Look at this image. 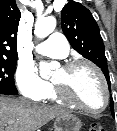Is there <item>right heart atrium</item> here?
<instances>
[{"label": "right heart atrium", "mask_w": 117, "mask_h": 131, "mask_svg": "<svg viewBox=\"0 0 117 131\" xmlns=\"http://www.w3.org/2000/svg\"><path fill=\"white\" fill-rule=\"evenodd\" d=\"M15 82L20 93L31 100H41L50 89V83L40 78L27 64H19L15 73Z\"/></svg>", "instance_id": "d8ad5b80"}]
</instances>
